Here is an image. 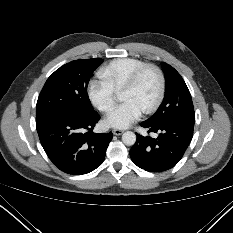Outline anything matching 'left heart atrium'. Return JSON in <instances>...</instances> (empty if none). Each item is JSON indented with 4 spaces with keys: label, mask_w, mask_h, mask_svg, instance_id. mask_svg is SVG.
<instances>
[{
    "label": "left heart atrium",
    "mask_w": 233,
    "mask_h": 233,
    "mask_svg": "<svg viewBox=\"0 0 233 233\" xmlns=\"http://www.w3.org/2000/svg\"><path fill=\"white\" fill-rule=\"evenodd\" d=\"M142 113V108L135 102L124 101L107 116L105 123L114 128H127L137 121Z\"/></svg>",
    "instance_id": "left-heart-atrium-1"
}]
</instances>
